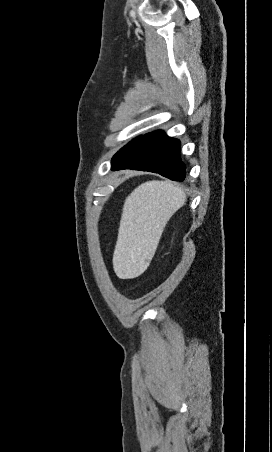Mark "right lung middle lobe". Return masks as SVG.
<instances>
[{"mask_svg": "<svg viewBox=\"0 0 272 452\" xmlns=\"http://www.w3.org/2000/svg\"><path fill=\"white\" fill-rule=\"evenodd\" d=\"M141 137L142 136L135 138L126 146H124L120 151H118L112 159V165L115 164Z\"/></svg>", "mask_w": 272, "mask_h": 452, "instance_id": "right-lung-middle-lobe-1", "label": "right lung middle lobe"}]
</instances>
